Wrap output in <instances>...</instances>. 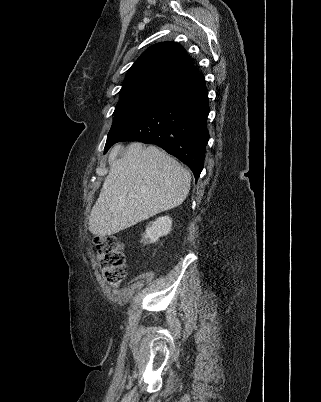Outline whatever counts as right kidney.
<instances>
[{"label":"right kidney","instance_id":"1","mask_svg":"<svg viewBox=\"0 0 321 402\" xmlns=\"http://www.w3.org/2000/svg\"><path fill=\"white\" fill-rule=\"evenodd\" d=\"M172 220L169 216H162L151 222L145 230L144 241L154 243L171 231Z\"/></svg>","mask_w":321,"mask_h":402}]
</instances>
